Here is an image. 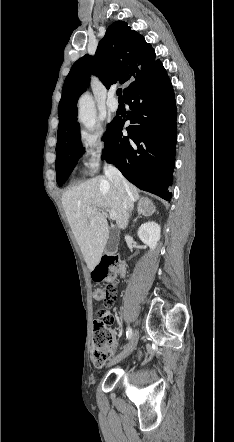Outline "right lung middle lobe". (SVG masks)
Returning a JSON list of instances; mask_svg holds the SVG:
<instances>
[{
    "label": "right lung middle lobe",
    "mask_w": 234,
    "mask_h": 442,
    "mask_svg": "<svg viewBox=\"0 0 234 442\" xmlns=\"http://www.w3.org/2000/svg\"><path fill=\"white\" fill-rule=\"evenodd\" d=\"M114 121H112L108 125V129L105 134V141L109 134V131L113 125ZM84 153V150L81 148V139H80V131L79 129L74 132V134L69 138V140L63 144L62 146L56 148V175H57V183L59 186H62L65 181L68 179L72 170L74 169L75 162L79 159V157Z\"/></svg>",
    "instance_id": "obj_1"
}]
</instances>
